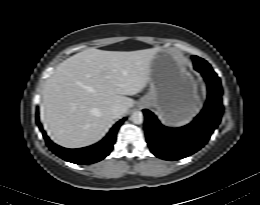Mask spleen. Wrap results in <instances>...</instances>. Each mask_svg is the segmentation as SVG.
<instances>
[{
	"label": "spleen",
	"mask_w": 260,
	"mask_h": 205,
	"mask_svg": "<svg viewBox=\"0 0 260 205\" xmlns=\"http://www.w3.org/2000/svg\"><path fill=\"white\" fill-rule=\"evenodd\" d=\"M190 121H191V119H190V118H187V119H185V120H183V121H181V122L175 124L174 126H183V125L188 124Z\"/></svg>",
	"instance_id": "spleen-1"
}]
</instances>
